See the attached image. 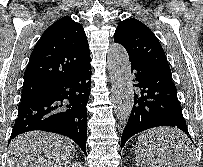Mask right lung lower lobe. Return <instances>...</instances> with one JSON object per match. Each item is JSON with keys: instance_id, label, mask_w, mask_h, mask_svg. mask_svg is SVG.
Instances as JSON below:
<instances>
[{"instance_id": "1", "label": "right lung lower lobe", "mask_w": 203, "mask_h": 167, "mask_svg": "<svg viewBox=\"0 0 203 167\" xmlns=\"http://www.w3.org/2000/svg\"><path fill=\"white\" fill-rule=\"evenodd\" d=\"M90 72L89 61L46 96L21 101L9 142L21 133L43 130L73 139L86 152Z\"/></svg>"}]
</instances>
